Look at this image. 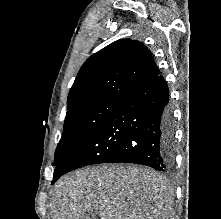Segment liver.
Wrapping results in <instances>:
<instances>
[{
  "instance_id": "6515ba94",
  "label": "liver",
  "mask_w": 221,
  "mask_h": 219,
  "mask_svg": "<svg viewBox=\"0 0 221 219\" xmlns=\"http://www.w3.org/2000/svg\"><path fill=\"white\" fill-rule=\"evenodd\" d=\"M173 192L156 171L133 165H102L60 178L50 204L52 219H79L96 210L100 219H169Z\"/></svg>"
}]
</instances>
